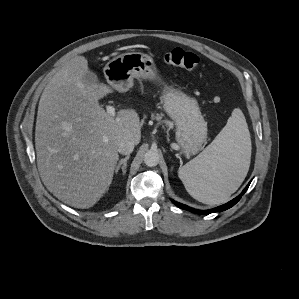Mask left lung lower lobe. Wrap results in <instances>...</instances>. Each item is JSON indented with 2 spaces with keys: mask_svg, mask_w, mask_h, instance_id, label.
Here are the masks:
<instances>
[{
  "mask_svg": "<svg viewBox=\"0 0 299 299\" xmlns=\"http://www.w3.org/2000/svg\"><path fill=\"white\" fill-rule=\"evenodd\" d=\"M250 183H251V181L245 187V189L242 191V193L239 196H237L236 198H234L233 200L229 201L228 203H226L224 205H221V206H218L216 208L209 209V210H197V209L191 208L187 205L175 202L173 200H172V202L175 203V205L177 207H179L181 209H184V210H187V211H190V212H194L196 214H210V213H214V212H221V211L227 210V209L231 208L232 206H234L240 200L242 195L246 192V190L248 189Z\"/></svg>",
  "mask_w": 299,
  "mask_h": 299,
  "instance_id": "1",
  "label": "left lung lower lobe"
}]
</instances>
